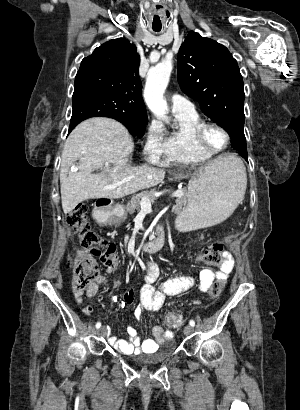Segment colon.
I'll return each instance as SVG.
<instances>
[{
  "mask_svg": "<svg viewBox=\"0 0 300 410\" xmlns=\"http://www.w3.org/2000/svg\"><path fill=\"white\" fill-rule=\"evenodd\" d=\"M88 207L80 204L67 216L66 223L78 234L81 244L89 250L70 256L68 265L71 270V281L77 291H82L88 287L98 276V264H101L110 271L115 270L119 265V257L113 244L108 243L98 233H96L87 222ZM223 245L214 243L202 250L199 259L210 264H219L222 260ZM225 282H215L209 290L210 297L218 296L224 287ZM169 327H179L183 323V318L170 313L166 317Z\"/></svg>",
  "mask_w": 300,
  "mask_h": 410,
  "instance_id": "obj_1",
  "label": "colon"
}]
</instances>
